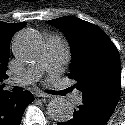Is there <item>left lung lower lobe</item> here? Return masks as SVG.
<instances>
[{
	"label": "left lung lower lobe",
	"instance_id": "obj_1",
	"mask_svg": "<svg viewBox=\"0 0 125 125\" xmlns=\"http://www.w3.org/2000/svg\"><path fill=\"white\" fill-rule=\"evenodd\" d=\"M113 109L94 107L81 104L74 110L73 116L66 122L58 125H105L110 119Z\"/></svg>",
	"mask_w": 125,
	"mask_h": 125
}]
</instances>
